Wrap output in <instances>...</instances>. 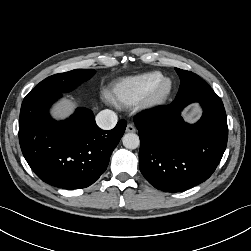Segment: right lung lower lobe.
<instances>
[{"label":"right lung lower lobe","instance_id":"1","mask_svg":"<svg viewBox=\"0 0 251 251\" xmlns=\"http://www.w3.org/2000/svg\"><path fill=\"white\" fill-rule=\"evenodd\" d=\"M61 96L31 91L24 98L19 118L21 150L42 181L63 189L85 188L106 170L127 123L120 120L114 129L104 131L87 108H77L68 119L55 121L49 108Z\"/></svg>","mask_w":251,"mask_h":251}]
</instances>
